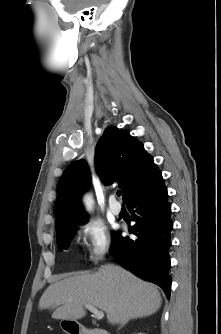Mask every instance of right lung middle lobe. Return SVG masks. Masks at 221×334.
<instances>
[{"instance_id":"right-lung-middle-lobe-1","label":"right lung middle lobe","mask_w":221,"mask_h":334,"mask_svg":"<svg viewBox=\"0 0 221 334\" xmlns=\"http://www.w3.org/2000/svg\"><path fill=\"white\" fill-rule=\"evenodd\" d=\"M80 224L71 225L64 230H62L59 234H57V245L59 250L66 249L69 246L70 240L74 236L77 228L76 226ZM114 232L112 233V237L114 236Z\"/></svg>"}]
</instances>
